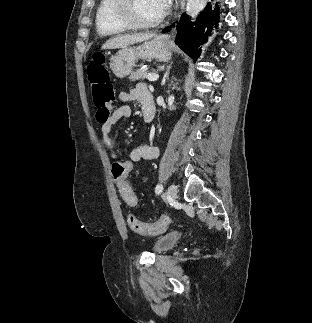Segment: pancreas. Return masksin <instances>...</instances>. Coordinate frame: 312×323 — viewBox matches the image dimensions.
Masks as SVG:
<instances>
[{"instance_id": "1", "label": "pancreas", "mask_w": 312, "mask_h": 323, "mask_svg": "<svg viewBox=\"0 0 312 323\" xmlns=\"http://www.w3.org/2000/svg\"><path fill=\"white\" fill-rule=\"evenodd\" d=\"M148 76L149 74L146 70H136V72H132V74H130L129 80H131V82H136V80H145Z\"/></svg>"}]
</instances>
